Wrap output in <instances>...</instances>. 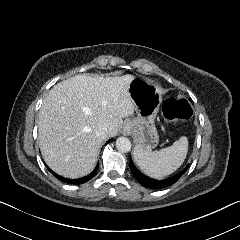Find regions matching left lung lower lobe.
Listing matches in <instances>:
<instances>
[{"instance_id":"1","label":"left lung lower lobe","mask_w":240,"mask_h":240,"mask_svg":"<svg viewBox=\"0 0 240 240\" xmlns=\"http://www.w3.org/2000/svg\"><path fill=\"white\" fill-rule=\"evenodd\" d=\"M188 166L184 168L179 174L174 175L170 178L164 180H155L152 178L147 177L146 175L142 174L133 164L132 159L130 158V170L134 176V178L144 187L151 188V189H161L167 186L174 184L181 175L187 170Z\"/></svg>"}]
</instances>
